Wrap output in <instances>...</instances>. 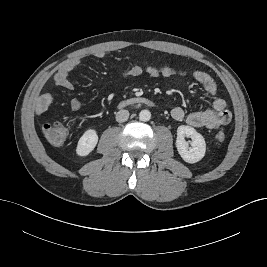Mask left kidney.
I'll list each match as a JSON object with an SVG mask.
<instances>
[{"instance_id":"1","label":"left kidney","mask_w":267,"mask_h":267,"mask_svg":"<svg viewBox=\"0 0 267 267\" xmlns=\"http://www.w3.org/2000/svg\"><path fill=\"white\" fill-rule=\"evenodd\" d=\"M185 137L191 138V147H189V143L185 140ZM176 148L185 162L196 163L204 157L206 143L203 136L194 128L181 125L177 128Z\"/></svg>"}]
</instances>
